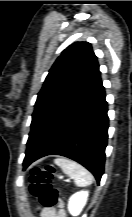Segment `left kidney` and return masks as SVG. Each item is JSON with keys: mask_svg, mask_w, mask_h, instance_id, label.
Returning a JSON list of instances; mask_svg holds the SVG:
<instances>
[{"mask_svg": "<svg viewBox=\"0 0 132 217\" xmlns=\"http://www.w3.org/2000/svg\"><path fill=\"white\" fill-rule=\"evenodd\" d=\"M88 198L87 191H80L73 194L68 201V210L72 216H78L85 206Z\"/></svg>", "mask_w": 132, "mask_h": 217, "instance_id": "obj_1", "label": "left kidney"}]
</instances>
